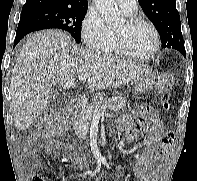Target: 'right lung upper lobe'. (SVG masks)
Here are the masks:
<instances>
[{
  "label": "right lung upper lobe",
  "mask_w": 197,
  "mask_h": 181,
  "mask_svg": "<svg viewBox=\"0 0 197 181\" xmlns=\"http://www.w3.org/2000/svg\"><path fill=\"white\" fill-rule=\"evenodd\" d=\"M36 6L69 8V9H87V0H26L23 10Z\"/></svg>",
  "instance_id": "right-lung-upper-lobe-1"
}]
</instances>
